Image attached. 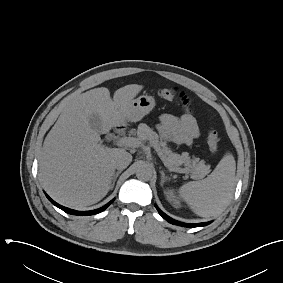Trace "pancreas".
I'll use <instances>...</instances> for the list:
<instances>
[{
  "instance_id": "obj_1",
  "label": "pancreas",
  "mask_w": 283,
  "mask_h": 283,
  "mask_svg": "<svg viewBox=\"0 0 283 283\" xmlns=\"http://www.w3.org/2000/svg\"><path fill=\"white\" fill-rule=\"evenodd\" d=\"M136 133L139 141H154L162 147L161 150L164 162L170 169H177L180 168L181 165H185L189 173H191V177L194 179L203 178L210 172V165H206L204 160H192L186 152L181 155L173 153L171 149L167 147V142L145 123L139 124Z\"/></svg>"
}]
</instances>
